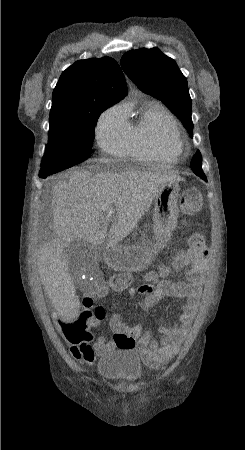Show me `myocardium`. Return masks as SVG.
Listing matches in <instances>:
<instances>
[{"instance_id":"1","label":"myocardium","mask_w":245,"mask_h":450,"mask_svg":"<svg viewBox=\"0 0 245 450\" xmlns=\"http://www.w3.org/2000/svg\"><path fill=\"white\" fill-rule=\"evenodd\" d=\"M159 134L166 147L178 155L183 152L184 142L179 127L173 118L168 117L162 122Z\"/></svg>"}]
</instances>
